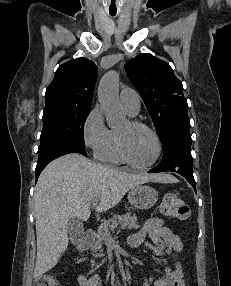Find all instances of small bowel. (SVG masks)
<instances>
[{
    "label": "small bowel",
    "instance_id": "obj_1",
    "mask_svg": "<svg viewBox=\"0 0 231 286\" xmlns=\"http://www.w3.org/2000/svg\"><path fill=\"white\" fill-rule=\"evenodd\" d=\"M149 237L152 243L146 241ZM128 244L131 248L144 246L157 256L176 257L183 251V244L179 236L168 227L160 218H150L142 225L140 230L129 237ZM184 270L179 262L172 266H165L164 276L151 283L144 277L143 286H184ZM81 286H101V278L98 274L82 275L79 277Z\"/></svg>",
    "mask_w": 231,
    "mask_h": 286
}]
</instances>
